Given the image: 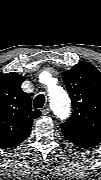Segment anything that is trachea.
Listing matches in <instances>:
<instances>
[{"label":"trachea","mask_w":101,"mask_h":180,"mask_svg":"<svg viewBox=\"0 0 101 180\" xmlns=\"http://www.w3.org/2000/svg\"><path fill=\"white\" fill-rule=\"evenodd\" d=\"M44 103H45V96H44V94H39L34 99L33 105H34L35 109H38V108H42L44 106Z\"/></svg>","instance_id":"obj_1"}]
</instances>
